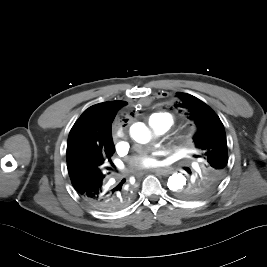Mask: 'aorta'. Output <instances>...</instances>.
Wrapping results in <instances>:
<instances>
[{
	"instance_id": "1",
	"label": "aorta",
	"mask_w": 267,
	"mask_h": 267,
	"mask_svg": "<svg viewBox=\"0 0 267 267\" xmlns=\"http://www.w3.org/2000/svg\"><path fill=\"white\" fill-rule=\"evenodd\" d=\"M131 137L138 143L145 144L150 140V132L142 122L134 123L130 127ZM186 184V178L181 173H174L168 178L167 186L170 190L177 192Z\"/></svg>"
}]
</instances>
